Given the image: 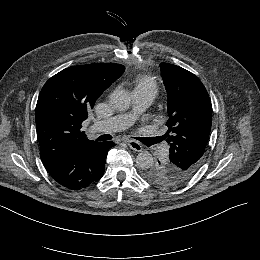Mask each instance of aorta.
I'll return each mask as SVG.
<instances>
[{
    "label": "aorta",
    "mask_w": 260,
    "mask_h": 260,
    "mask_svg": "<svg viewBox=\"0 0 260 260\" xmlns=\"http://www.w3.org/2000/svg\"><path fill=\"white\" fill-rule=\"evenodd\" d=\"M110 103L118 111H125L131 105L130 93L124 89H115L110 95ZM135 162L142 169L153 165V156L148 151H142L136 156Z\"/></svg>",
    "instance_id": "aorta-1"
}]
</instances>
